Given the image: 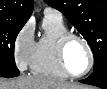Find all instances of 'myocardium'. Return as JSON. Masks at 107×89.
<instances>
[{"label":"myocardium","mask_w":107,"mask_h":89,"mask_svg":"<svg viewBox=\"0 0 107 89\" xmlns=\"http://www.w3.org/2000/svg\"><path fill=\"white\" fill-rule=\"evenodd\" d=\"M73 39L79 40L86 48L89 55V64L86 70L80 74H73L69 71L66 63V49L69 42ZM57 58L64 73L70 78H80L88 74L94 66V54L88 41L80 34L74 32H66L62 34L57 41Z\"/></svg>","instance_id":"obj_1"}]
</instances>
